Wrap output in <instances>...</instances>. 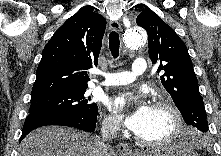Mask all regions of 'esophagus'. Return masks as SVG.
<instances>
[{
    "mask_svg": "<svg viewBox=\"0 0 221 156\" xmlns=\"http://www.w3.org/2000/svg\"><path fill=\"white\" fill-rule=\"evenodd\" d=\"M110 29L113 31H119L121 29V25L117 20H111L109 22ZM117 151L122 156H127L131 154V149L126 143H119L117 145Z\"/></svg>",
    "mask_w": 221,
    "mask_h": 156,
    "instance_id": "obj_1",
    "label": "esophagus"
}]
</instances>
